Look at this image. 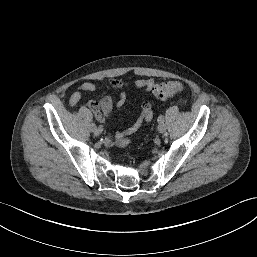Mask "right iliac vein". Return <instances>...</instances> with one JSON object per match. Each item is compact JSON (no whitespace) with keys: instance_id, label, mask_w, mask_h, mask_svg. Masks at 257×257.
Wrapping results in <instances>:
<instances>
[{"instance_id":"right-iliac-vein-1","label":"right iliac vein","mask_w":257,"mask_h":257,"mask_svg":"<svg viewBox=\"0 0 257 257\" xmlns=\"http://www.w3.org/2000/svg\"><path fill=\"white\" fill-rule=\"evenodd\" d=\"M93 133L96 135V136H99L101 133H102V129L99 127V128H95L93 130Z\"/></svg>"}]
</instances>
